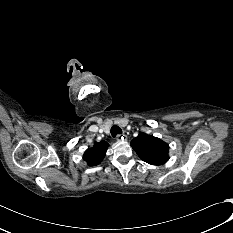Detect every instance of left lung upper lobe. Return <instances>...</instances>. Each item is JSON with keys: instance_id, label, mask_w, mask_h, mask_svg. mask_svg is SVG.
Listing matches in <instances>:
<instances>
[{"instance_id": "left-lung-upper-lobe-1", "label": "left lung upper lobe", "mask_w": 233, "mask_h": 233, "mask_svg": "<svg viewBox=\"0 0 233 233\" xmlns=\"http://www.w3.org/2000/svg\"><path fill=\"white\" fill-rule=\"evenodd\" d=\"M131 146L141 160L151 165H162L169 159V146L161 139L140 133L131 141Z\"/></svg>"}]
</instances>
